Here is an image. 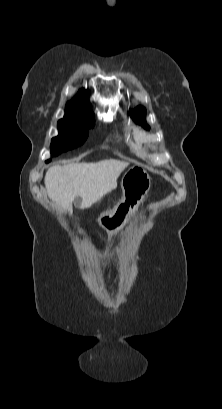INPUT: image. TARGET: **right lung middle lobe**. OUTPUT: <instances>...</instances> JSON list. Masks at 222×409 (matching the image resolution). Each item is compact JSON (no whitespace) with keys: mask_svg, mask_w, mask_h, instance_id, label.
<instances>
[{"mask_svg":"<svg viewBox=\"0 0 222 409\" xmlns=\"http://www.w3.org/2000/svg\"><path fill=\"white\" fill-rule=\"evenodd\" d=\"M94 126V115L91 111H77L66 113L58 121L57 137L51 142V155L58 154L80 146L88 137V128ZM47 160L46 162H50Z\"/></svg>","mask_w":222,"mask_h":409,"instance_id":"1","label":"right lung middle lobe"}]
</instances>
